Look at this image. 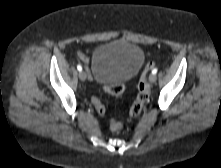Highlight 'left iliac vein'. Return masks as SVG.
Masks as SVG:
<instances>
[{
	"mask_svg": "<svg viewBox=\"0 0 221 168\" xmlns=\"http://www.w3.org/2000/svg\"><path fill=\"white\" fill-rule=\"evenodd\" d=\"M156 80H157L156 74H151V75L149 76V81H150V83H155Z\"/></svg>",
	"mask_w": 221,
	"mask_h": 168,
	"instance_id": "1",
	"label": "left iliac vein"
}]
</instances>
